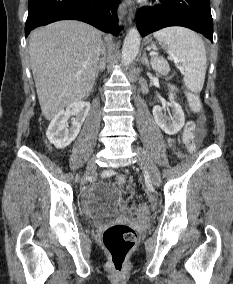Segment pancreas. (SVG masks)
<instances>
[{
    "mask_svg": "<svg viewBox=\"0 0 233 284\" xmlns=\"http://www.w3.org/2000/svg\"><path fill=\"white\" fill-rule=\"evenodd\" d=\"M151 63H152L153 68L156 71L160 73L167 72L168 65H167V62L163 58L154 57L152 58Z\"/></svg>",
    "mask_w": 233,
    "mask_h": 284,
    "instance_id": "cf45deb5",
    "label": "pancreas"
}]
</instances>
